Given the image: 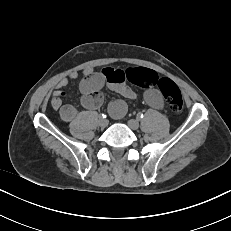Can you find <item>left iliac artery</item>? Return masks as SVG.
Returning <instances> with one entry per match:
<instances>
[{
    "instance_id": "44dca946",
    "label": "left iliac artery",
    "mask_w": 231,
    "mask_h": 231,
    "mask_svg": "<svg viewBox=\"0 0 231 231\" xmlns=\"http://www.w3.org/2000/svg\"><path fill=\"white\" fill-rule=\"evenodd\" d=\"M144 117L143 113H138L137 118L142 119Z\"/></svg>"
}]
</instances>
